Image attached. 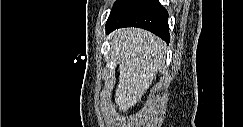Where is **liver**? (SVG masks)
I'll use <instances>...</instances> for the list:
<instances>
[{"instance_id": "6515ba94", "label": "liver", "mask_w": 243, "mask_h": 127, "mask_svg": "<svg viewBox=\"0 0 243 127\" xmlns=\"http://www.w3.org/2000/svg\"><path fill=\"white\" fill-rule=\"evenodd\" d=\"M110 40L119 60L115 103L126 112L141 100L156 78L166 45L152 33L135 28L119 29L110 35Z\"/></svg>"}]
</instances>
